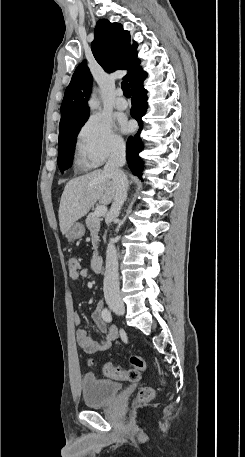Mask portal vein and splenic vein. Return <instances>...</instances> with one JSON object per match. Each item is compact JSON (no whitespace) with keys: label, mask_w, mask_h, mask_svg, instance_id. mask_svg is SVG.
<instances>
[{"label":"portal vein and splenic vein","mask_w":245,"mask_h":457,"mask_svg":"<svg viewBox=\"0 0 245 457\" xmlns=\"http://www.w3.org/2000/svg\"><path fill=\"white\" fill-rule=\"evenodd\" d=\"M107 212V206L105 204H100V206H97L96 210H94L93 214L94 216H103Z\"/></svg>","instance_id":"portal-vein-and-splenic-vein-1"}]
</instances>
